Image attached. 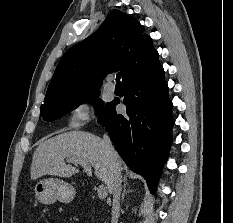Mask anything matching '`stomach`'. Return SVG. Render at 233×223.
I'll return each instance as SVG.
<instances>
[{"instance_id": "obj_1", "label": "stomach", "mask_w": 233, "mask_h": 223, "mask_svg": "<svg viewBox=\"0 0 233 223\" xmlns=\"http://www.w3.org/2000/svg\"><path fill=\"white\" fill-rule=\"evenodd\" d=\"M34 193L40 203L50 205V203H55V201L70 203L76 195V189L72 183H68L64 179L44 177V179H39L35 183Z\"/></svg>"}]
</instances>
